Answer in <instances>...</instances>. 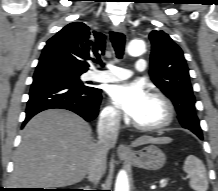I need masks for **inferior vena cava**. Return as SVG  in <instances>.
<instances>
[{"instance_id": "602c4592", "label": "inferior vena cava", "mask_w": 218, "mask_h": 191, "mask_svg": "<svg viewBox=\"0 0 218 191\" xmlns=\"http://www.w3.org/2000/svg\"><path fill=\"white\" fill-rule=\"evenodd\" d=\"M121 116L117 111L102 114L98 121V143L94 160L88 171L90 181L97 184L106 169V155L116 144Z\"/></svg>"}]
</instances>
